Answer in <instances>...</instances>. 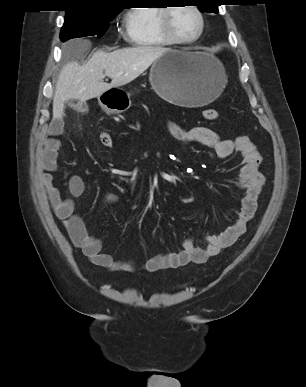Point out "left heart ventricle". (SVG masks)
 Returning <instances> with one entry per match:
<instances>
[{
    "instance_id": "obj_1",
    "label": "left heart ventricle",
    "mask_w": 306,
    "mask_h": 387,
    "mask_svg": "<svg viewBox=\"0 0 306 387\" xmlns=\"http://www.w3.org/2000/svg\"><path fill=\"white\" fill-rule=\"evenodd\" d=\"M174 32L181 38H193L199 31L198 15L189 7H177L171 17Z\"/></svg>"
}]
</instances>
